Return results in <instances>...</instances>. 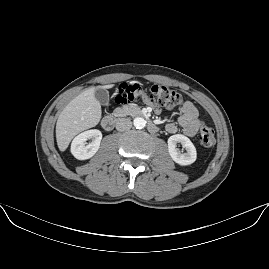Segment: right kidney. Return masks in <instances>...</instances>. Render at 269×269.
I'll return each instance as SVG.
<instances>
[{"instance_id": "right-kidney-1", "label": "right kidney", "mask_w": 269, "mask_h": 269, "mask_svg": "<svg viewBox=\"0 0 269 269\" xmlns=\"http://www.w3.org/2000/svg\"><path fill=\"white\" fill-rule=\"evenodd\" d=\"M88 139H92L89 144L86 143ZM101 139L102 133L97 129L82 132L73 139L71 153L78 160L89 159L98 151Z\"/></svg>"}]
</instances>
